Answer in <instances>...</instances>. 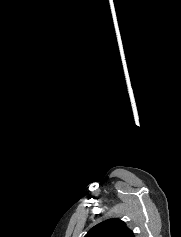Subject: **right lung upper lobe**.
<instances>
[{"label":"right lung upper lobe","instance_id":"cb5924a9","mask_svg":"<svg viewBox=\"0 0 181 237\" xmlns=\"http://www.w3.org/2000/svg\"><path fill=\"white\" fill-rule=\"evenodd\" d=\"M85 237H134V234L123 221L113 218L94 226Z\"/></svg>","mask_w":181,"mask_h":237}]
</instances>
